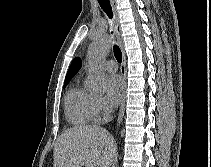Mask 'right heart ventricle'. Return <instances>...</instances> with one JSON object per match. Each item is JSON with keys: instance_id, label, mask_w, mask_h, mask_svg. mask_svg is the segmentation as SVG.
Here are the masks:
<instances>
[{"instance_id": "obj_1", "label": "right heart ventricle", "mask_w": 211, "mask_h": 167, "mask_svg": "<svg viewBox=\"0 0 211 167\" xmlns=\"http://www.w3.org/2000/svg\"><path fill=\"white\" fill-rule=\"evenodd\" d=\"M92 94L79 82L75 83L65 97L67 119L77 125L88 124L95 120L92 110Z\"/></svg>"}]
</instances>
